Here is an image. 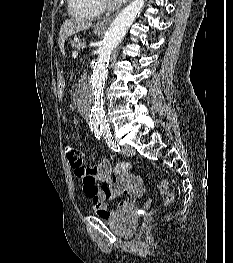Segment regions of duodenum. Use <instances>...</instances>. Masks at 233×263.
<instances>
[{"label":"duodenum","instance_id":"duodenum-1","mask_svg":"<svg viewBox=\"0 0 233 263\" xmlns=\"http://www.w3.org/2000/svg\"><path fill=\"white\" fill-rule=\"evenodd\" d=\"M86 76H85V74H82V78H81V80L84 82V81H86Z\"/></svg>","mask_w":233,"mask_h":263}]
</instances>
